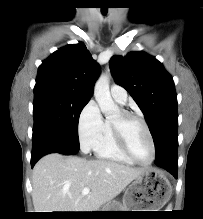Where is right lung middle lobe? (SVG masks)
<instances>
[{
  "mask_svg": "<svg viewBox=\"0 0 203 219\" xmlns=\"http://www.w3.org/2000/svg\"><path fill=\"white\" fill-rule=\"evenodd\" d=\"M88 101L56 88H34L32 142L47 141L54 146L52 152L76 154L79 116Z\"/></svg>",
  "mask_w": 203,
  "mask_h": 219,
  "instance_id": "1",
  "label": "right lung middle lobe"
}]
</instances>
